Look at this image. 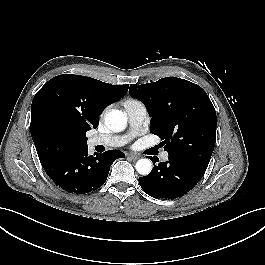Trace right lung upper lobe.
<instances>
[{"label":"right lung upper lobe","mask_w":265,"mask_h":265,"mask_svg":"<svg viewBox=\"0 0 265 265\" xmlns=\"http://www.w3.org/2000/svg\"><path fill=\"white\" fill-rule=\"evenodd\" d=\"M129 85H111L80 75H59L44 84L31 105V136L36 150L39 129L50 122L64 130L73 150L87 147L86 132L96 128L99 115L128 91Z\"/></svg>","instance_id":"1"}]
</instances>
